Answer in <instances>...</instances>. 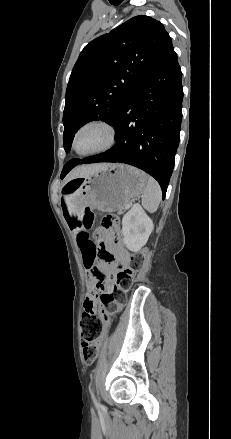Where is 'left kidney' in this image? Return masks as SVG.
Wrapping results in <instances>:
<instances>
[{
	"label": "left kidney",
	"mask_w": 231,
	"mask_h": 439,
	"mask_svg": "<svg viewBox=\"0 0 231 439\" xmlns=\"http://www.w3.org/2000/svg\"><path fill=\"white\" fill-rule=\"evenodd\" d=\"M153 222L139 204H135L122 219L123 242L132 252H138L148 241Z\"/></svg>",
	"instance_id": "left-kidney-1"
}]
</instances>
